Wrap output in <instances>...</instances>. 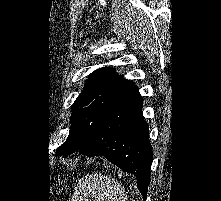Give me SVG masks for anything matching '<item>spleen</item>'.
I'll list each match as a JSON object with an SVG mask.
<instances>
[{"label": "spleen", "instance_id": "spleen-1", "mask_svg": "<svg viewBox=\"0 0 221 201\" xmlns=\"http://www.w3.org/2000/svg\"><path fill=\"white\" fill-rule=\"evenodd\" d=\"M72 201H128V196L114 179L94 174L79 181Z\"/></svg>", "mask_w": 221, "mask_h": 201}]
</instances>
